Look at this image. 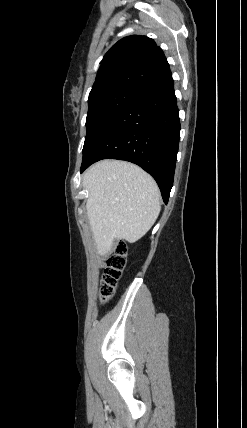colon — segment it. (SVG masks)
I'll use <instances>...</instances> for the list:
<instances>
[{"label":"colon","instance_id":"obj_1","mask_svg":"<svg viewBox=\"0 0 247 428\" xmlns=\"http://www.w3.org/2000/svg\"><path fill=\"white\" fill-rule=\"evenodd\" d=\"M129 248L121 242L106 256L105 269L101 279L100 296L103 303L114 295L118 281L126 268Z\"/></svg>","mask_w":247,"mask_h":428}]
</instances>
